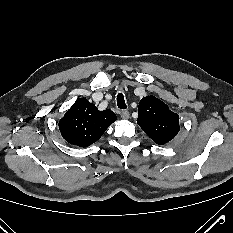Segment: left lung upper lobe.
I'll return each mask as SVG.
<instances>
[{"label": "left lung upper lobe", "mask_w": 233, "mask_h": 233, "mask_svg": "<svg viewBox=\"0 0 233 233\" xmlns=\"http://www.w3.org/2000/svg\"><path fill=\"white\" fill-rule=\"evenodd\" d=\"M137 123L159 145L172 140L180 130L178 114L154 96L141 99Z\"/></svg>", "instance_id": "1"}]
</instances>
